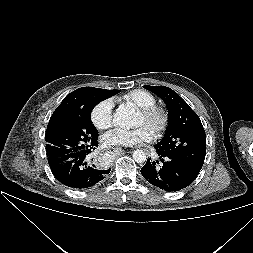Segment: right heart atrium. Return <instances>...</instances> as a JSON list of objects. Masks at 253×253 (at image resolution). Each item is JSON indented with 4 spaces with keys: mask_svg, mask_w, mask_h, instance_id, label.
<instances>
[{
    "mask_svg": "<svg viewBox=\"0 0 253 253\" xmlns=\"http://www.w3.org/2000/svg\"><path fill=\"white\" fill-rule=\"evenodd\" d=\"M114 101L110 98L98 102L91 112V121L99 130H105L113 124Z\"/></svg>",
    "mask_w": 253,
    "mask_h": 253,
    "instance_id": "1",
    "label": "right heart atrium"
}]
</instances>
